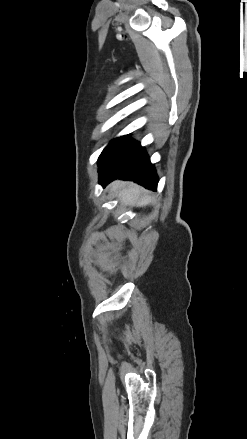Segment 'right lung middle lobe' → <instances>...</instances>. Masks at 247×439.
I'll return each mask as SVG.
<instances>
[{"label": "right lung middle lobe", "instance_id": "obj_1", "mask_svg": "<svg viewBox=\"0 0 247 439\" xmlns=\"http://www.w3.org/2000/svg\"><path fill=\"white\" fill-rule=\"evenodd\" d=\"M132 139L130 135H125L119 138H116L110 142V144L103 150L101 153L98 164L99 166L115 151L119 150L123 146H125L128 142H130Z\"/></svg>", "mask_w": 247, "mask_h": 439}]
</instances>
